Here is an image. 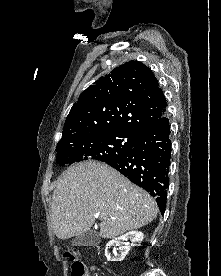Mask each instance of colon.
<instances>
[{
  "instance_id": "colon-1",
  "label": "colon",
  "mask_w": 221,
  "mask_h": 276,
  "mask_svg": "<svg viewBox=\"0 0 221 276\" xmlns=\"http://www.w3.org/2000/svg\"><path fill=\"white\" fill-rule=\"evenodd\" d=\"M63 258L72 264V276H89L88 270L78 261L74 251L66 249L63 252Z\"/></svg>"
}]
</instances>
